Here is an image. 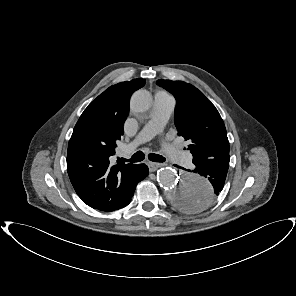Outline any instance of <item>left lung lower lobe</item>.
I'll use <instances>...</instances> for the list:
<instances>
[{
  "label": "left lung lower lobe",
  "mask_w": 296,
  "mask_h": 296,
  "mask_svg": "<svg viewBox=\"0 0 296 296\" xmlns=\"http://www.w3.org/2000/svg\"><path fill=\"white\" fill-rule=\"evenodd\" d=\"M229 157H218L214 159L193 160L195 168L188 172H193L207 178L213 187L209 190L197 191L196 193L182 192L181 200L190 202L195 199V202L188 203V208L192 211H197L208 206L219 195L223 189L229 168ZM184 170V168H182ZM192 175V174H186Z\"/></svg>",
  "instance_id": "1"
}]
</instances>
